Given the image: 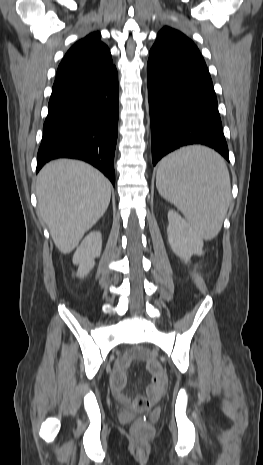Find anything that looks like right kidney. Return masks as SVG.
Instances as JSON below:
<instances>
[{
	"instance_id": "obj_1",
	"label": "right kidney",
	"mask_w": 263,
	"mask_h": 465,
	"mask_svg": "<svg viewBox=\"0 0 263 465\" xmlns=\"http://www.w3.org/2000/svg\"><path fill=\"white\" fill-rule=\"evenodd\" d=\"M102 249V236L100 232L89 233L76 249L73 263L78 265L77 276L84 278L95 265L94 259L99 257Z\"/></svg>"
}]
</instances>
